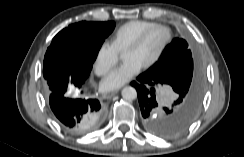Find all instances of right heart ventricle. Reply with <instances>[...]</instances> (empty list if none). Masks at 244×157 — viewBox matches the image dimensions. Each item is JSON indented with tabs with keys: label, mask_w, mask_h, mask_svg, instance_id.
<instances>
[{
	"label": "right heart ventricle",
	"mask_w": 244,
	"mask_h": 157,
	"mask_svg": "<svg viewBox=\"0 0 244 157\" xmlns=\"http://www.w3.org/2000/svg\"><path fill=\"white\" fill-rule=\"evenodd\" d=\"M155 25L157 24L144 20L128 21L115 30L112 43L119 52H123L141 32Z\"/></svg>",
	"instance_id": "e07e8e85"
}]
</instances>
